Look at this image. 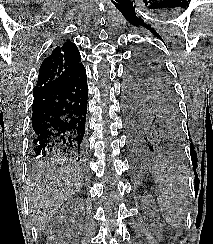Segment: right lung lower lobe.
Returning <instances> with one entry per match:
<instances>
[{
  "label": "right lung lower lobe",
  "mask_w": 213,
  "mask_h": 244,
  "mask_svg": "<svg viewBox=\"0 0 213 244\" xmlns=\"http://www.w3.org/2000/svg\"><path fill=\"white\" fill-rule=\"evenodd\" d=\"M87 96L85 68L63 85L33 91L31 149L34 157L80 160L85 156Z\"/></svg>",
  "instance_id": "obj_1"
}]
</instances>
